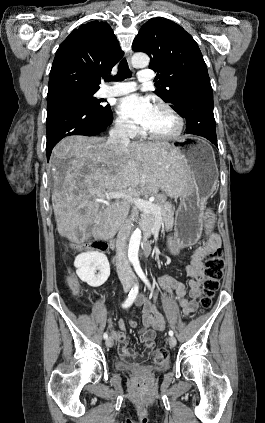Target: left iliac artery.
<instances>
[{"label": "left iliac artery", "instance_id": "44dca946", "mask_svg": "<svg viewBox=\"0 0 265 423\" xmlns=\"http://www.w3.org/2000/svg\"><path fill=\"white\" fill-rule=\"evenodd\" d=\"M134 268H135V271L137 272V274H138V276L142 279V281L148 286V288L153 292V290H152V287H151V285H150V283H149V280L147 279V277L145 276V274L143 273V271H142V269H141V267H140V264H139V262H136V263H134ZM173 331L172 330H169V335L170 336H173Z\"/></svg>", "mask_w": 265, "mask_h": 423}]
</instances>
